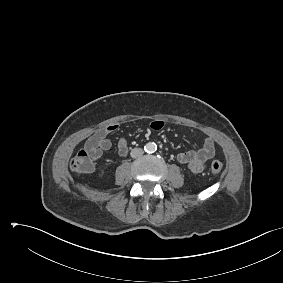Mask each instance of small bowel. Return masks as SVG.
Wrapping results in <instances>:
<instances>
[{
    "mask_svg": "<svg viewBox=\"0 0 283 283\" xmlns=\"http://www.w3.org/2000/svg\"><path fill=\"white\" fill-rule=\"evenodd\" d=\"M151 127L154 130H159L163 127V122L160 120H155L151 123ZM117 130H119V126L117 124H111L96 131L87 140L85 149L90 152L93 158L102 156L112 147V142L108 138V135ZM117 149L120 156L127 155L128 144L124 137L119 138ZM214 154V143L210 138H207L204 140V143L201 147L179 153L177 155V160L179 163L185 165L190 171L194 173H200L205 170L207 162L213 158Z\"/></svg>",
    "mask_w": 283,
    "mask_h": 283,
    "instance_id": "1",
    "label": "small bowel"
}]
</instances>
